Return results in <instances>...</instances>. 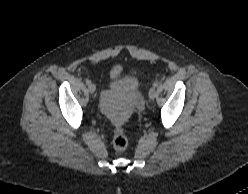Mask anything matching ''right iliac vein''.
I'll list each match as a JSON object with an SVG mask.
<instances>
[{
	"label": "right iliac vein",
	"mask_w": 248,
	"mask_h": 194,
	"mask_svg": "<svg viewBox=\"0 0 248 194\" xmlns=\"http://www.w3.org/2000/svg\"><path fill=\"white\" fill-rule=\"evenodd\" d=\"M95 90H96V87H95V85L94 84H89L88 85V91L91 93V94H93L94 92H95Z\"/></svg>",
	"instance_id": "right-iliac-vein-1"
}]
</instances>
